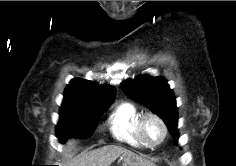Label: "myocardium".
<instances>
[{
    "label": "myocardium",
    "instance_id": "1",
    "mask_svg": "<svg viewBox=\"0 0 236 166\" xmlns=\"http://www.w3.org/2000/svg\"><path fill=\"white\" fill-rule=\"evenodd\" d=\"M149 118L156 120L161 125V128H162V132H163L162 137L156 143L150 142L146 138L145 133H144V125H145V122ZM137 130H138V135H139L140 139L142 140V142L144 143V145L147 147H150V148H154V147H157L160 144H162L168 135V128H167V125H166L164 119L160 115H158L157 113L151 112V111L145 112L141 115V117L138 121Z\"/></svg>",
    "mask_w": 236,
    "mask_h": 166
}]
</instances>
